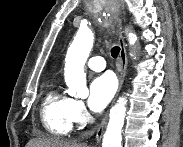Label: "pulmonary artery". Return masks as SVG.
I'll return each mask as SVG.
<instances>
[{"instance_id":"pulmonary-artery-1","label":"pulmonary artery","mask_w":183,"mask_h":147,"mask_svg":"<svg viewBox=\"0 0 183 147\" xmlns=\"http://www.w3.org/2000/svg\"><path fill=\"white\" fill-rule=\"evenodd\" d=\"M87 66L93 71H102L106 67L105 60L100 56L91 57Z\"/></svg>"}]
</instances>
